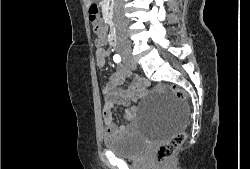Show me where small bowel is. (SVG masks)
I'll return each mask as SVG.
<instances>
[{"label": "small bowel", "instance_id": "obj_1", "mask_svg": "<svg viewBox=\"0 0 250 169\" xmlns=\"http://www.w3.org/2000/svg\"><path fill=\"white\" fill-rule=\"evenodd\" d=\"M106 42L104 27L97 33L96 44V63L102 67L106 63L107 52L102 47ZM130 76L129 72L124 69H118L110 78L104 89L105 107L103 110V118L108 135L114 133H134L137 129L136 116L137 107L133 103L138 102L143 91L149 86V81L143 77H134L127 87H121ZM121 105L126 108L125 118L129 122L127 125L116 126L114 124L113 108Z\"/></svg>", "mask_w": 250, "mask_h": 169}]
</instances>
